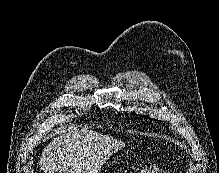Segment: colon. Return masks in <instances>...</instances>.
<instances>
[{"instance_id": "5ec220e1", "label": "colon", "mask_w": 219, "mask_h": 173, "mask_svg": "<svg viewBox=\"0 0 219 173\" xmlns=\"http://www.w3.org/2000/svg\"><path fill=\"white\" fill-rule=\"evenodd\" d=\"M124 173H164V172L157 169L155 166L149 164L145 166L131 167L130 169L126 170Z\"/></svg>"}]
</instances>
